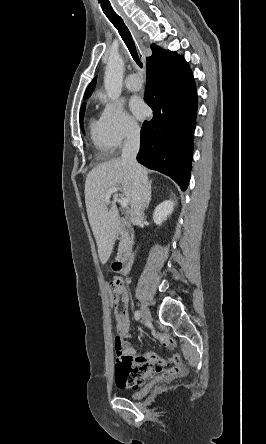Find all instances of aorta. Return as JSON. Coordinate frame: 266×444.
Here are the masks:
<instances>
[{
	"mask_svg": "<svg viewBox=\"0 0 266 444\" xmlns=\"http://www.w3.org/2000/svg\"><path fill=\"white\" fill-rule=\"evenodd\" d=\"M123 72V59L120 56L110 57L105 70L104 86L107 96L113 101L121 95Z\"/></svg>",
	"mask_w": 266,
	"mask_h": 444,
	"instance_id": "obj_1",
	"label": "aorta"
}]
</instances>
